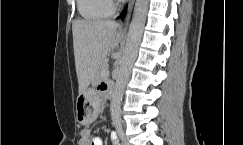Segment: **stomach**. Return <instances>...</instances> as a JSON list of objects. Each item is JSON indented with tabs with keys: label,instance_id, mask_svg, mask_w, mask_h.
Here are the masks:
<instances>
[{
	"label": "stomach",
	"instance_id": "obj_1",
	"mask_svg": "<svg viewBox=\"0 0 243 145\" xmlns=\"http://www.w3.org/2000/svg\"><path fill=\"white\" fill-rule=\"evenodd\" d=\"M99 103L101 94H90L86 91L81 93L77 99V121L81 124L93 122L98 115Z\"/></svg>",
	"mask_w": 243,
	"mask_h": 145
}]
</instances>
